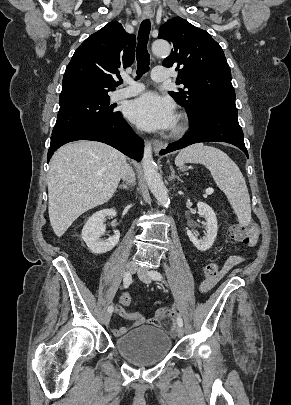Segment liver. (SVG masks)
Returning <instances> with one entry per match:
<instances>
[{
    "mask_svg": "<svg viewBox=\"0 0 291 405\" xmlns=\"http://www.w3.org/2000/svg\"><path fill=\"white\" fill-rule=\"evenodd\" d=\"M125 156L101 142L78 141L59 148L50 161L48 212L61 237L84 212L108 202L121 178Z\"/></svg>",
    "mask_w": 291,
    "mask_h": 405,
    "instance_id": "liver-1",
    "label": "liver"
}]
</instances>
